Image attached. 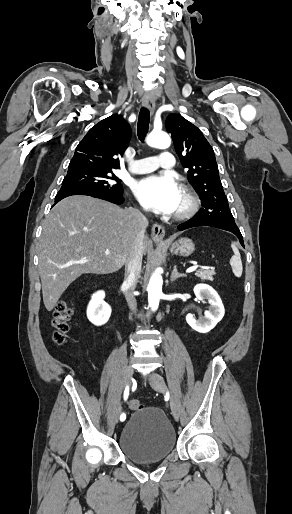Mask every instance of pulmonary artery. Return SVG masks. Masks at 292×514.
<instances>
[{
  "label": "pulmonary artery",
  "instance_id": "1",
  "mask_svg": "<svg viewBox=\"0 0 292 514\" xmlns=\"http://www.w3.org/2000/svg\"><path fill=\"white\" fill-rule=\"evenodd\" d=\"M157 157L162 159L160 165L154 158L147 156L134 158L132 160V168L138 174L156 172L159 168L162 172H171L173 170V166L175 165V158L173 157V153L171 151L165 150L163 152H159Z\"/></svg>",
  "mask_w": 292,
  "mask_h": 514
}]
</instances>
